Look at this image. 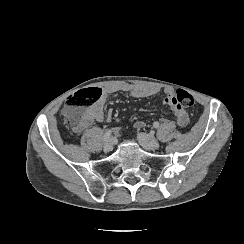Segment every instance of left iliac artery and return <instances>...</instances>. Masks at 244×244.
<instances>
[{
    "instance_id": "left-iliac-artery-1",
    "label": "left iliac artery",
    "mask_w": 244,
    "mask_h": 244,
    "mask_svg": "<svg viewBox=\"0 0 244 244\" xmlns=\"http://www.w3.org/2000/svg\"><path fill=\"white\" fill-rule=\"evenodd\" d=\"M153 126H154L155 129H158L160 125H159L158 122H154V123H153Z\"/></svg>"
}]
</instances>
